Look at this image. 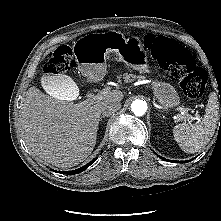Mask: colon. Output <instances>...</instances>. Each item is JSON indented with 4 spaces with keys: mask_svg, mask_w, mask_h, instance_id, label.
Wrapping results in <instances>:
<instances>
[{
    "mask_svg": "<svg viewBox=\"0 0 221 221\" xmlns=\"http://www.w3.org/2000/svg\"><path fill=\"white\" fill-rule=\"evenodd\" d=\"M143 43L151 51L155 62L180 83L188 98L198 100L205 95L207 74L204 69L196 65L190 52L177 42L155 34H147ZM74 67L72 48L68 45H61L50 54L45 73L63 74Z\"/></svg>",
    "mask_w": 221,
    "mask_h": 221,
    "instance_id": "obj_1",
    "label": "colon"
}]
</instances>
